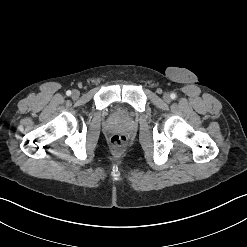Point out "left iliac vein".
Listing matches in <instances>:
<instances>
[{
  "label": "left iliac vein",
  "instance_id": "4c4485c4",
  "mask_svg": "<svg viewBox=\"0 0 247 247\" xmlns=\"http://www.w3.org/2000/svg\"><path fill=\"white\" fill-rule=\"evenodd\" d=\"M163 99H164L166 102H170V100H171L170 94H169V93H164Z\"/></svg>",
  "mask_w": 247,
  "mask_h": 247
}]
</instances>
